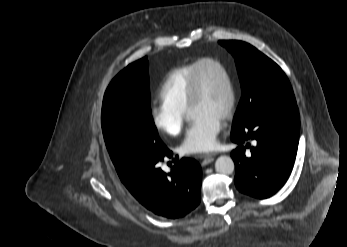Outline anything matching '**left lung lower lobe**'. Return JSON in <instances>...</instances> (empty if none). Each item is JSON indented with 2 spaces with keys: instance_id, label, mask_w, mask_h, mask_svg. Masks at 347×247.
Instances as JSON below:
<instances>
[{
  "instance_id": "0a47b994",
  "label": "left lung lower lobe",
  "mask_w": 347,
  "mask_h": 247,
  "mask_svg": "<svg viewBox=\"0 0 347 247\" xmlns=\"http://www.w3.org/2000/svg\"><path fill=\"white\" fill-rule=\"evenodd\" d=\"M299 129L296 104L272 106L244 126L232 129L231 140L239 145L231 153L239 191L263 199L284 185L295 161ZM242 144L250 153H245Z\"/></svg>"
}]
</instances>
